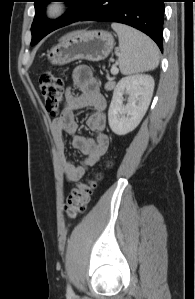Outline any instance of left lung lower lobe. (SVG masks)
<instances>
[{
	"label": "left lung lower lobe",
	"mask_w": 195,
	"mask_h": 299,
	"mask_svg": "<svg viewBox=\"0 0 195 299\" xmlns=\"http://www.w3.org/2000/svg\"><path fill=\"white\" fill-rule=\"evenodd\" d=\"M165 0H92L78 21H111L132 26L151 37L163 50Z\"/></svg>",
	"instance_id": "1"
}]
</instances>
